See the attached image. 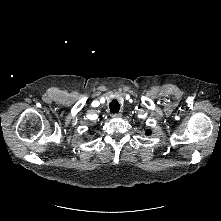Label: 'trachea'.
Here are the masks:
<instances>
[{
  "label": "trachea",
  "mask_w": 221,
  "mask_h": 221,
  "mask_svg": "<svg viewBox=\"0 0 221 221\" xmlns=\"http://www.w3.org/2000/svg\"><path fill=\"white\" fill-rule=\"evenodd\" d=\"M109 108L111 113H117L120 110V104L117 100H112L109 104Z\"/></svg>",
  "instance_id": "1"
}]
</instances>
